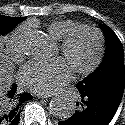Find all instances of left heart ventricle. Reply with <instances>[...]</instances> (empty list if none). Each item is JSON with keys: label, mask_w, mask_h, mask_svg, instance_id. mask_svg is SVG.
<instances>
[{"label": "left heart ventricle", "mask_w": 125, "mask_h": 125, "mask_svg": "<svg viewBox=\"0 0 125 125\" xmlns=\"http://www.w3.org/2000/svg\"><path fill=\"white\" fill-rule=\"evenodd\" d=\"M97 40L92 33L84 32L74 42L70 52L62 55L69 67L86 65L95 55Z\"/></svg>", "instance_id": "left-heart-ventricle-1"}]
</instances>
